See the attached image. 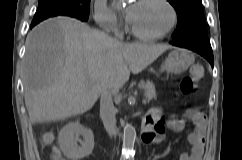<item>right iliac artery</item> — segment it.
I'll list each match as a JSON object with an SVG mask.
<instances>
[{"instance_id":"82829eb1","label":"right iliac artery","mask_w":242,"mask_h":160,"mask_svg":"<svg viewBox=\"0 0 242 160\" xmlns=\"http://www.w3.org/2000/svg\"><path fill=\"white\" fill-rule=\"evenodd\" d=\"M120 160H125L124 158H121Z\"/></svg>"}]
</instances>
